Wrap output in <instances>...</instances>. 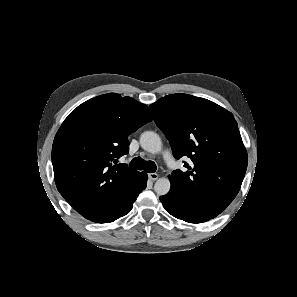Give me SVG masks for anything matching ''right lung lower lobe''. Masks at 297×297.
<instances>
[{"label":"right lung lower lobe","instance_id":"1","mask_svg":"<svg viewBox=\"0 0 297 297\" xmlns=\"http://www.w3.org/2000/svg\"><path fill=\"white\" fill-rule=\"evenodd\" d=\"M147 174L144 172L139 173L125 193L118 199V201L113 205V207L103 215L97 222L99 223H109L116 219L125 216L130 212L133 207L134 201L137 199L138 195L146 188L147 184Z\"/></svg>","mask_w":297,"mask_h":297}]
</instances>
